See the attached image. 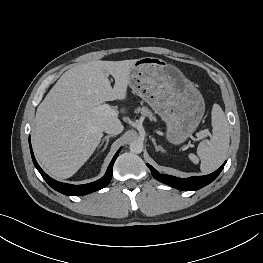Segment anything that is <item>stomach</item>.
<instances>
[{
  "label": "stomach",
  "mask_w": 263,
  "mask_h": 263,
  "mask_svg": "<svg viewBox=\"0 0 263 263\" xmlns=\"http://www.w3.org/2000/svg\"><path fill=\"white\" fill-rule=\"evenodd\" d=\"M129 86L166 124V138L183 143L198 127L205 110L202 94L174 65L155 57L136 59Z\"/></svg>",
  "instance_id": "stomach-1"
}]
</instances>
